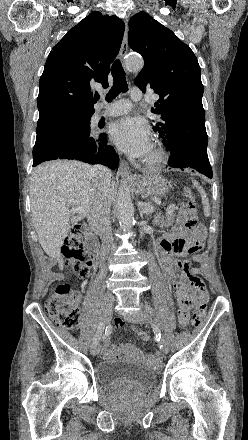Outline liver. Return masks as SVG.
I'll use <instances>...</instances> for the list:
<instances>
[{
	"mask_svg": "<svg viewBox=\"0 0 248 440\" xmlns=\"http://www.w3.org/2000/svg\"><path fill=\"white\" fill-rule=\"evenodd\" d=\"M93 167L78 161L46 162L33 171L30 183L31 215L45 253L63 268L61 247L70 225L84 219L99 194L112 202L115 183L103 184L92 174ZM81 208L74 212L70 207ZM76 214V215H75Z\"/></svg>",
	"mask_w": 248,
	"mask_h": 440,
	"instance_id": "liver-1",
	"label": "liver"
}]
</instances>
